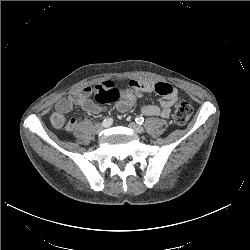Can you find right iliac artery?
<instances>
[{
  "mask_svg": "<svg viewBox=\"0 0 250 250\" xmlns=\"http://www.w3.org/2000/svg\"><path fill=\"white\" fill-rule=\"evenodd\" d=\"M112 122H113L112 118H106V119L103 120L102 124H103L104 127H108V126H110L112 124Z\"/></svg>",
  "mask_w": 250,
  "mask_h": 250,
  "instance_id": "obj_1",
  "label": "right iliac artery"
}]
</instances>
